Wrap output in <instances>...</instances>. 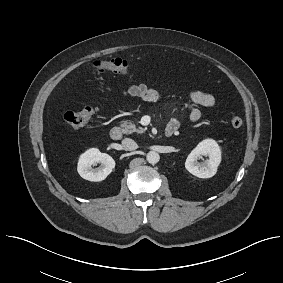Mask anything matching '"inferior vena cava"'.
Returning a JSON list of instances; mask_svg holds the SVG:
<instances>
[{
	"instance_id": "obj_1",
	"label": "inferior vena cava",
	"mask_w": 283,
	"mask_h": 283,
	"mask_svg": "<svg viewBox=\"0 0 283 283\" xmlns=\"http://www.w3.org/2000/svg\"><path fill=\"white\" fill-rule=\"evenodd\" d=\"M122 147L126 151H132L138 148L137 143L130 138H125L122 140Z\"/></svg>"
}]
</instances>
